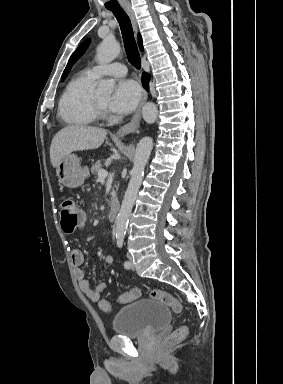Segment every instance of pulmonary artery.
Masks as SVG:
<instances>
[{"instance_id":"pulmonary-artery-1","label":"pulmonary artery","mask_w":283,"mask_h":384,"mask_svg":"<svg viewBox=\"0 0 283 384\" xmlns=\"http://www.w3.org/2000/svg\"><path fill=\"white\" fill-rule=\"evenodd\" d=\"M127 72V69L124 65L113 62V63H100L89 68L87 74L93 79L97 80L106 75L112 76H123Z\"/></svg>"}]
</instances>
